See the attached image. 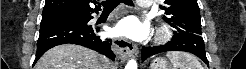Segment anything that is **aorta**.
Here are the masks:
<instances>
[{
  "label": "aorta",
  "instance_id": "762f6f07",
  "mask_svg": "<svg viewBox=\"0 0 246 69\" xmlns=\"http://www.w3.org/2000/svg\"><path fill=\"white\" fill-rule=\"evenodd\" d=\"M137 68H138L137 62L134 59L129 60L125 67V69H137Z\"/></svg>",
  "mask_w": 246,
  "mask_h": 69
}]
</instances>
